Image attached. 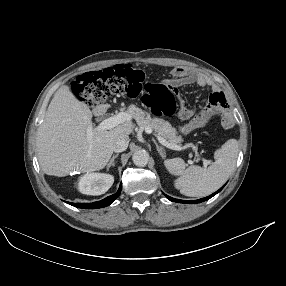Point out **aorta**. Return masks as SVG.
I'll list each match as a JSON object with an SVG mask.
<instances>
[{
    "label": "aorta",
    "mask_w": 286,
    "mask_h": 286,
    "mask_svg": "<svg viewBox=\"0 0 286 286\" xmlns=\"http://www.w3.org/2000/svg\"><path fill=\"white\" fill-rule=\"evenodd\" d=\"M132 160L136 166L144 167L147 165L149 161V154L145 150L142 149L137 150L134 152Z\"/></svg>",
    "instance_id": "obj_1"
}]
</instances>
